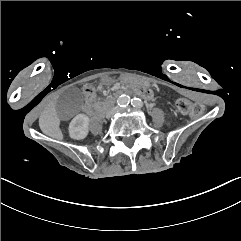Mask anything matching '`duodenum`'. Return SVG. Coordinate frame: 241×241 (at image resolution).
<instances>
[{
    "mask_svg": "<svg viewBox=\"0 0 241 241\" xmlns=\"http://www.w3.org/2000/svg\"><path fill=\"white\" fill-rule=\"evenodd\" d=\"M131 91H135L143 96H147V92L145 90H140V89H131ZM121 92L116 93V95H120ZM115 96H110L108 97L103 103L96 105L95 107L92 108L90 111V115L94 119H99L103 116L105 111L110 107V105L113 103Z\"/></svg>",
    "mask_w": 241,
    "mask_h": 241,
    "instance_id": "duodenum-1",
    "label": "duodenum"
}]
</instances>
